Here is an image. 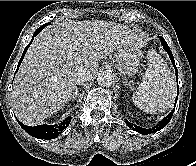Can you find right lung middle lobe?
I'll return each instance as SVG.
<instances>
[{"mask_svg":"<svg viewBox=\"0 0 196 166\" xmlns=\"http://www.w3.org/2000/svg\"><path fill=\"white\" fill-rule=\"evenodd\" d=\"M46 25H49V23L44 24L43 26H41L40 28L43 29Z\"/></svg>","mask_w":196,"mask_h":166,"instance_id":"obj_1","label":"right lung middle lobe"}]
</instances>
